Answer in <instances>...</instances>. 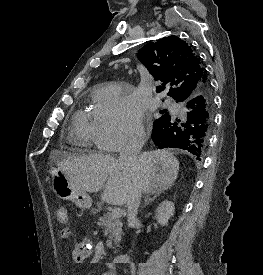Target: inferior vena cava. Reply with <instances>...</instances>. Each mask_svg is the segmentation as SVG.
<instances>
[{
    "mask_svg": "<svg viewBox=\"0 0 263 275\" xmlns=\"http://www.w3.org/2000/svg\"><path fill=\"white\" fill-rule=\"evenodd\" d=\"M143 143H130L125 145L119 156V162L123 167V172L132 178V184L127 197V222L129 227H134L138 222L137 213L142 196V184L138 165V156Z\"/></svg>",
    "mask_w": 263,
    "mask_h": 275,
    "instance_id": "602c4592",
    "label": "inferior vena cava"
}]
</instances>
